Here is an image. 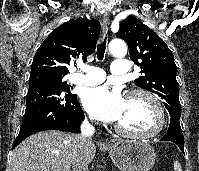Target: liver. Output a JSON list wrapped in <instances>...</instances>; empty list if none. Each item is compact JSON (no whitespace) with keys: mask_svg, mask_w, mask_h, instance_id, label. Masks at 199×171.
I'll return each mask as SVG.
<instances>
[{"mask_svg":"<svg viewBox=\"0 0 199 171\" xmlns=\"http://www.w3.org/2000/svg\"><path fill=\"white\" fill-rule=\"evenodd\" d=\"M77 149V136L68 132L44 131L18 145L12 154L10 171H70ZM96 146L85 148L87 163L95 157Z\"/></svg>","mask_w":199,"mask_h":171,"instance_id":"1","label":"liver"}]
</instances>
